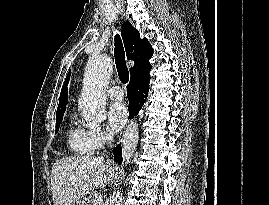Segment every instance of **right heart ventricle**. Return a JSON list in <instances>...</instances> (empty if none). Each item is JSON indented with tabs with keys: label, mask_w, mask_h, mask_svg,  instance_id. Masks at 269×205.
Wrapping results in <instances>:
<instances>
[{
	"label": "right heart ventricle",
	"mask_w": 269,
	"mask_h": 205,
	"mask_svg": "<svg viewBox=\"0 0 269 205\" xmlns=\"http://www.w3.org/2000/svg\"><path fill=\"white\" fill-rule=\"evenodd\" d=\"M67 142L70 150L78 156H89L93 153L84 137V130L71 126L68 130Z\"/></svg>",
	"instance_id": "e07e8e85"
}]
</instances>
